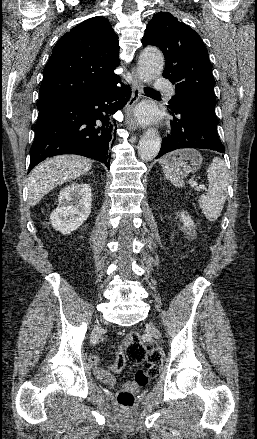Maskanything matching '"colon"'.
<instances>
[{"mask_svg":"<svg viewBox=\"0 0 257 439\" xmlns=\"http://www.w3.org/2000/svg\"><path fill=\"white\" fill-rule=\"evenodd\" d=\"M143 364L144 369L137 371L132 380L126 381L124 387L117 394V402L123 408H131L135 403V391L145 386L149 379L154 378L159 372L161 357L159 353L149 344H144L137 332H129L119 347L116 359L113 363V370L120 371L126 362ZM99 358H90V364L97 366ZM98 375L108 383L113 382V376L105 371L97 370Z\"/></svg>","mask_w":257,"mask_h":439,"instance_id":"1","label":"colon"}]
</instances>
